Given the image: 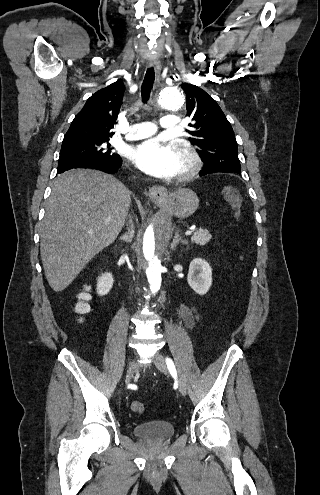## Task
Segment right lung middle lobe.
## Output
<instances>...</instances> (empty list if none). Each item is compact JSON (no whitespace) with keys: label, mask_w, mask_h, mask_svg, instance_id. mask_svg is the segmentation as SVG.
Masks as SVG:
<instances>
[{"label":"right lung middle lobe","mask_w":320,"mask_h":495,"mask_svg":"<svg viewBox=\"0 0 320 495\" xmlns=\"http://www.w3.org/2000/svg\"><path fill=\"white\" fill-rule=\"evenodd\" d=\"M108 138L63 140L58 166L75 161H112L120 158L112 153Z\"/></svg>","instance_id":"right-lung-middle-lobe-1"}]
</instances>
